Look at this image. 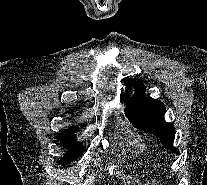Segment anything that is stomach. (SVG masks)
<instances>
[{"label":"stomach","mask_w":207,"mask_h":185,"mask_svg":"<svg viewBox=\"0 0 207 185\" xmlns=\"http://www.w3.org/2000/svg\"><path fill=\"white\" fill-rule=\"evenodd\" d=\"M151 185H156V183H152Z\"/></svg>","instance_id":"obj_1"}]
</instances>
